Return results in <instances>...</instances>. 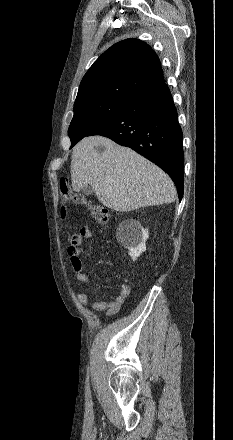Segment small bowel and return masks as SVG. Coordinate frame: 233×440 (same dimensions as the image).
<instances>
[{
  "instance_id": "1",
  "label": "small bowel",
  "mask_w": 233,
  "mask_h": 440,
  "mask_svg": "<svg viewBox=\"0 0 233 440\" xmlns=\"http://www.w3.org/2000/svg\"><path fill=\"white\" fill-rule=\"evenodd\" d=\"M92 237V230L89 227H82L78 233L72 236L70 245L68 247V254L71 258L73 270L75 271V277L78 281L86 285L89 283V277L86 268L80 259V255L83 252L82 241L92 239ZM129 292V286L122 284L119 287V293L117 296L94 302L92 305V310L96 313L106 311L107 315H114L120 310L122 304L129 295ZM77 297L81 305H87L88 298L86 294L78 293Z\"/></svg>"
}]
</instances>
